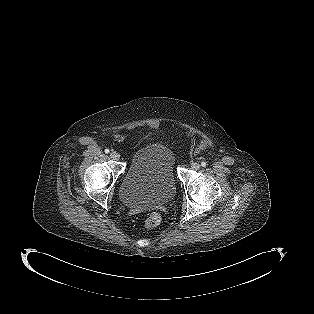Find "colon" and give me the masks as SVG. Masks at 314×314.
<instances>
[{
    "label": "colon",
    "mask_w": 314,
    "mask_h": 314,
    "mask_svg": "<svg viewBox=\"0 0 314 314\" xmlns=\"http://www.w3.org/2000/svg\"><path fill=\"white\" fill-rule=\"evenodd\" d=\"M160 222H161V217L157 213H153L148 217L145 224L147 228H154L158 226Z\"/></svg>",
    "instance_id": "1"
}]
</instances>
